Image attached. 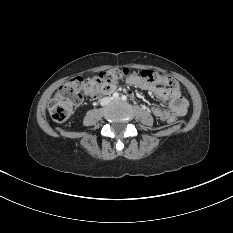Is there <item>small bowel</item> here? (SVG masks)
I'll use <instances>...</instances> for the list:
<instances>
[{
	"mask_svg": "<svg viewBox=\"0 0 233 233\" xmlns=\"http://www.w3.org/2000/svg\"><path fill=\"white\" fill-rule=\"evenodd\" d=\"M124 81L128 85H135L142 89L152 91L160 100L165 103V108L158 107L156 105L150 108V112L153 116L160 120H168L170 118L176 119L186 114L188 110V101L180 93H172L163 87H155L147 84L139 78L137 72L132 71L125 76ZM111 90L107 91L110 92Z\"/></svg>",
	"mask_w": 233,
	"mask_h": 233,
	"instance_id": "1",
	"label": "small bowel"
}]
</instances>
